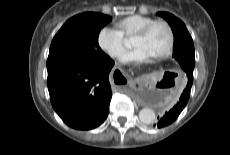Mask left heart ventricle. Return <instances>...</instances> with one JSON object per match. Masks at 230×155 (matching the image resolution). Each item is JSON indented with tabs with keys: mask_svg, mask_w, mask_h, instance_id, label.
<instances>
[{
	"mask_svg": "<svg viewBox=\"0 0 230 155\" xmlns=\"http://www.w3.org/2000/svg\"><path fill=\"white\" fill-rule=\"evenodd\" d=\"M168 31L162 24L155 25L151 31L144 37H134V47H144L149 51L152 57L160 54L168 45Z\"/></svg>",
	"mask_w": 230,
	"mask_h": 155,
	"instance_id": "obj_1",
	"label": "left heart ventricle"
}]
</instances>
